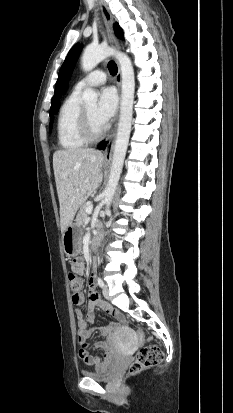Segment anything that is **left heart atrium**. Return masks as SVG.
<instances>
[{
  "label": "left heart atrium",
  "instance_id": "1",
  "mask_svg": "<svg viewBox=\"0 0 233 413\" xmlns=\"http://www.w3.org/2000/svg\"><path fill=\"white\" fill-rule=\"evenodd\" d=\"M117 105L118 97L115 90L110 87L102 89L96 109V118L102 127L113 118Z\"/></svg>",
  "mask_w": 233,
  "mask_h": 413
}]
</instances>
